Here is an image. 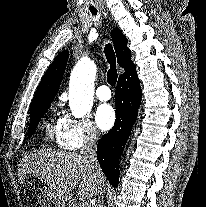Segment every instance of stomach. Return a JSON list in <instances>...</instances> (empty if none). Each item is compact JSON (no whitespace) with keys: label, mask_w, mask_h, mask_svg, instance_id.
Wrapping results in <instances>:
<instances>
[{"label":"stomach","mask_w":206,"mask_h":207,"mask_svg":"<svg viewBox=\"0 0 206 207\" xmlns=\"http://www.w3.org/2000/svg\"><path fill=\"white\" fill-rule=\"evenodd\" d=\"M43 191H44L45 194H47V192H46V191H47L46 187L43 188Z\"/></svg>","instance_id":"1"}]
</instances>
